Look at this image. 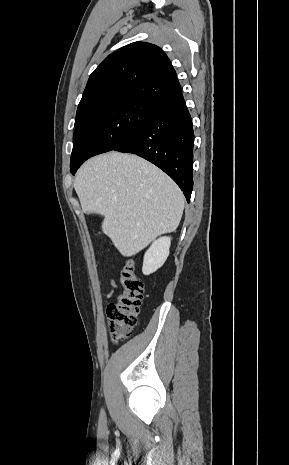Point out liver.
I'll return each instance as SVG.
<instances>
[{"mask_svg":"<svg viewBox=\"0 0 289 465\" xmlns=\"http://www.w3.org/2000/svg\"><path fill=\"white\" fill-rule=\"evenodd\" d=\"M74 189L83 212L104 216L102 231L130 257L178 227L184 196L152 163L132 154L93 157L78 170Z\"/></svg>","mask_w":289,"mask_h":465,"instance_id":"obj_1","label":"liver"}]
</instances>
